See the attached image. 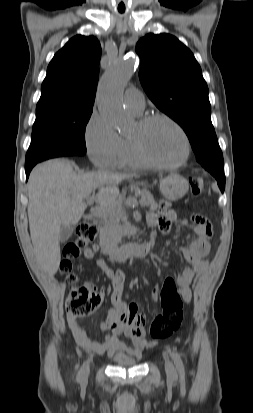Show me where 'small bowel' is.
<instances>
[{"mask_svg":"<svg viewBox=\"0 0 253 413\" xmlns=\"http://www.w3.org/2000/svg\"><path fill=\"white\" fill-rule=\"evenodd\" d=\"M191 220L193 238L179 248V252L188 262V266L177 277L181 296L186 302L191 300L190 285L194 277L203 272L208 265L207 257L211 248L210 238L212 235L211 225L205 217L192 215ZM147 221L152 228H157L166 235L172 225L178 221V216L174 210L169 208L167 203L162 202L157 212L148 214ZM84 256L87 259H96L97 266L110 280L113 287L111 299L113 307L107 312L105 320L100 325L101 329L107 332L105 338L101 341L91 338L86 329L78 322V318L67 314V322L75 340L83 348L98 354L106 353L112 356L127 353L133 356H141L144 349L155 345V341H150L146 337V316L138 314V306L135 303L126 305L122 301L126 282L125 273L122 270H113L107 266L98 245L85 248ZM150 296L153 302L158 301V285L151 289ZM121 334L131 341L130 345L119 338Z\"/></svg>","mask_w":253,"mask_h":413,"instance_id":"c3829d8e","label":"small bowel"}]
</instances>
